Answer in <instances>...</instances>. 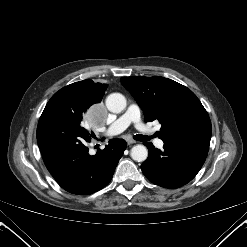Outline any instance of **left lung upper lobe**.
I'll use <instances>...</instances> for the list:
<instances>
[{
	"instance_id": "obj_1",
	"label": "left lung upper lobe",
	"mask_w": 247,
	"mask_h": 247,
	"mask_svg": "<svg viewBox=\"0 0 247 247\" xmlns=\"http://www.w3.org/2000/svg\"><path fill=\"white\" fill-rule=\"evenodd\" d=\"M121 83L137 101L145 120H158L163 142L188 135L211 136L209 115L197 96L184 85L171 79L122 77Z\"/></svg>"
}]
</instances>
